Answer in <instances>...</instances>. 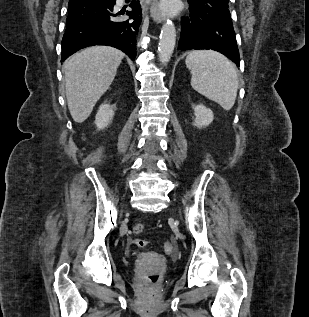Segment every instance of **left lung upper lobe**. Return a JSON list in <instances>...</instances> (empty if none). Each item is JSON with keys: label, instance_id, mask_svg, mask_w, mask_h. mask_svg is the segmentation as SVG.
<instances>
[{"label": "left lung upper lobe", "instance_id": "5c2ea615", "mask_svg": "<svg viewBox=\"0 0 309 317\" xmlns=\"http://www.w3.org/2000/svg\"><path fill=\"white\" fill-rule=\"evenodd\" d=\"M190 8L230 19L229 0H188Z\"/></svg>", "mask_w": 309, "mask_h": 317}]
</instances>
